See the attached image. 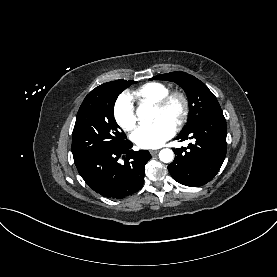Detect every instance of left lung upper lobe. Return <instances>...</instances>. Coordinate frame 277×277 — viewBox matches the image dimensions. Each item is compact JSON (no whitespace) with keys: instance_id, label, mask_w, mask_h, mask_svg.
Listing matches in <instances>:
<instances>
[{"instance_id":"5c2ea615","label":"left lung upper lobe","mask_w":277,"mask_h":277,"mask_svg":"<svg viewBox=\"0 0 277 277\" xmlns=\"http://www.w3.org/2000/svg\"><path fill=\"white\" fill-rule=\"evenodd\" d=\"M168 80L177 83L187 93L190 114L188 122L181 133L189 131L207 115L220 111L221 107L208 87L194 76L185 72H171L157 75L151 80Z\"/></svg>"}]
</instances>
